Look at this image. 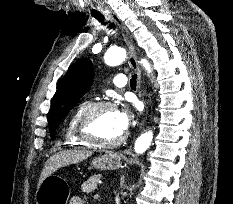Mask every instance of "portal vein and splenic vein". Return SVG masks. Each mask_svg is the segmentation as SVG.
Masks as SVG:
<instances>
[{
    "label": "portal vein and splenic vein",
    "mask_w": 233,
    "mask_h": 204,
    "mask_svg": "<svg viewBox=\"0 0 233 204\" xmlns=\"http://www.w3.org/2000/svg\"><path fill=\"white\" fill-rule=\"evenodd\" d=\"M97 198H98V195H95V196H94V199H97Z\"/></svg>",
    "instance_id": "obj_1"
}]
</instances>
